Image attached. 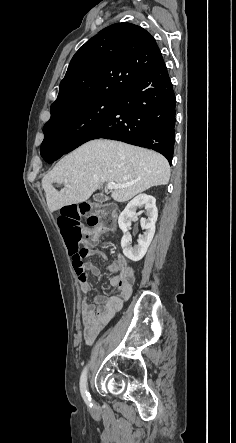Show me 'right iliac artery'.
<instances>
[{"instance_id": "1", "label": "right iliac artery", "mask_w": 236, "mask_h": 443, "mask_svg": "<svg viewBox=\"0 0 236 443\" xmlns=\"http://www.w3.org/2000/svg\"><path fill=\"white\" fill-rule=\"evenodd\" d=\"M80 391L86 404L91 406V396L87 391V368L83 370L80 378Z\"/></svg>"}]
</instances>
